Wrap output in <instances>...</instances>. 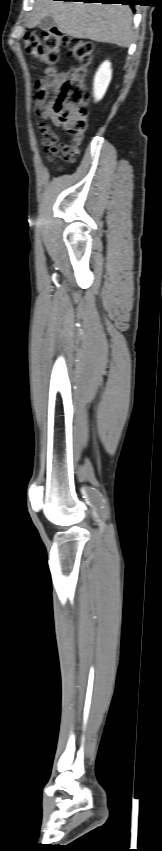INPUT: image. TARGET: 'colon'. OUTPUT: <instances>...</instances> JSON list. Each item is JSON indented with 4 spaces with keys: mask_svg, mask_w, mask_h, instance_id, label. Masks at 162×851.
<instances>
[{
    "mask_svg": "<svg viewBox=\"0 0 162 851\" xmlns=\"http://www.w3.org/2000/svg\"><path fill=\"white\" fill-rule=\"evenodd\" d=\"M24 49L28 55L48 65L60 62L62 50L79 62V67L68 70L54 105L57 124L71 136L75 145H79L87 128L89 99L83 77L92 61L94 44L52 28L41 33H28L24 38ZM77 155L78 150H72L69 161H74Z\"/></svg>",
    "mask_w": 162,
    "mask_h": 851,
    "instance_id": "1",
    "label": "colon"
}]
</instances>
